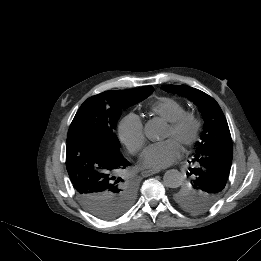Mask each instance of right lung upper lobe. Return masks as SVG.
Returning a JSON list of instances; mask_svg holds the SVG:
<instances>
[{"label": "right lung upper lobe", "mask_w": 261, "mask_h": 261, "mask_svg": "<svg viewBox=\"0 0 261 261\" xmlns=\"http://www.w3.org/2000/svg\"><path fill=\"white\" fill-rule=\"evenodd\" d=\"M147 87V86H146ZM142 88H145V87H142ZM136 89H141V88H136ZM136 89H132V90H136Z\"/></svg>", "instance_id": "cb5924a9"}]
</instances>
